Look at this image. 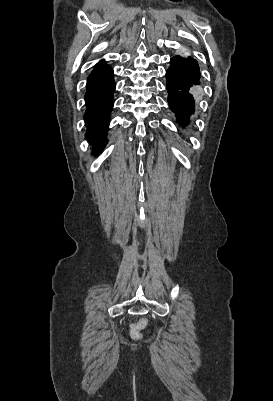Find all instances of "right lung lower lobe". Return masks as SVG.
Masks as SVG:
<instances>
[{
	"label": "right lung lower lobe",
	"mask_w": 273,
	"mask_h": 401,
	"mask_svg": "<svg viewBox=\"0 0 273 401\" xmlns=\"http://www.w3.org/2000/svg\"><path fill=\"white\" fill-rule=\"evenodd\" d=\"M114 90L112 68L106 63L97 64L88 77L84 114L87 125L85 137L93 147V154L100 153L108 142L107 131L113 108Z\"/></svg>",
	"instance_id": "98d812e1"
}]
</instances>
